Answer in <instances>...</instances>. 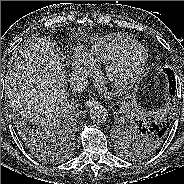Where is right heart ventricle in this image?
<instances>
[{"label":"right heart ventricle","instance_id":"e07e8e85","mask_svg":"<svg viewBox=\"0 0 184 184\" xmlns=\"http://www.w3.org/2000/svg\"><path fill=\"white\" fill-rule=\"evenodd\" d=\"M134 44H136L135 40L124 34H112L96 42L86 54L94 64H105L122 50Z\"/></svg>","mask_w":184,"mask_h":184}]
</instances>
